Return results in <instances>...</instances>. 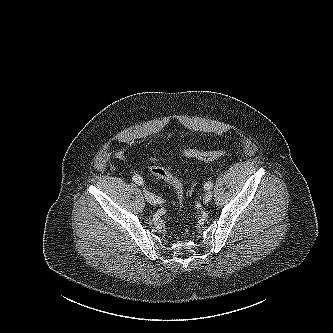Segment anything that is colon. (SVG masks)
Segmentation results:
<instances>
[{
    "mask_svg": "<svg viewBox=\"0 0 333 333\" xmlns=\"http://www.w3.org/2000/svg\"><path fill=\"white\" fill-rule=\"evenodd\" d=\"M183 155L187 158H195L201 161H214L224 157L226 155V151H199L196 149H187L183 151ZM150 171L155 177L173 186L177 194L178 206L181 207L183 200V186L179 179L171 174L167 169L160 166H153L150 168Z\"/></svg>",
    "mask_w": 333,
    "mask_h": 333,
    "instance_id": "colon-1",
    "label": "colon"
}]
</instances>
